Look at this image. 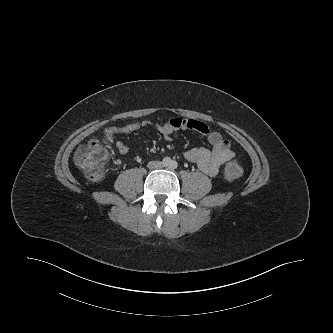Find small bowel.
Listing matches in <instances>:
<instances>
[{
  "label": "small bowel",
  "instance_id": "obj_1",
  "mask_svg": "<svg viewBox=\"0 0 333 333\" xmlns=\"http://www.w3.org/2000/svg\"><path fill=\"white\" fill-rule=\"evenodd\" d=\"M149 126L151 124L148 122L130 123L120 127L111 126L104 130V137L108 142H113L118 135L132 134ZM153 127L167 141L172 139L176 131L185 129L194 130L206 136L212 148H191L185 151L184 158L188 162L197 165L201 171L209 176L217 175L222 167L234 157L229 142L220 133L211 130L200 121L173 118L162 125H153ZM116 148L121 155H127L129 152L128 146L121 141L116 142Z\"/></svg>",
  "mask_w": 333,
  "mask_h": 333
}]
</instances>
